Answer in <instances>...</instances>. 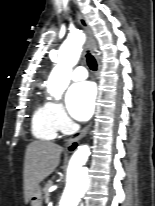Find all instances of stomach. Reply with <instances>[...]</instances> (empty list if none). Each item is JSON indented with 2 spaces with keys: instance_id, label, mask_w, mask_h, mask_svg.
<instances>
[{
  "instance_id": "obj_1",
  "label": "stomach",
  "mask_w": 155,
  "mask_h": 206,
  "mask_svg": "<svg viewBox=\"0 0 155 206\" xmlns=\"http://www.w3.org/2000/svg\"><path fill=\"white\" fill-rule=\"evenodd\" d=\"M30 202L32 206H42V192L40 186L36 187L35 191L30 197Z\"/></svg>"
}]
</instances>
